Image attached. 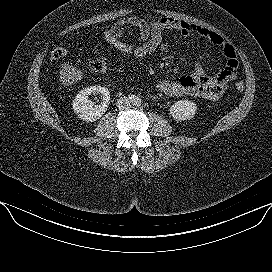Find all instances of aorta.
Returning <instances> with one entry per match:
<instances>
[{
    "label": "aorta",
    "instance_id": "obj_1",
    "mask_svg": "<svg viewBox=\"0 0 272 272\" xmlns=\"http://www.w3.org/2000/svg\"><path fill=\"white\" fill-rule=\"evenodd\" d=\"M133 103H134V104H139V99L135 98V99L133 100Z\"/></svg>",
    "mask_w": 272,
    "mask_h": 272
}]
</instances>
